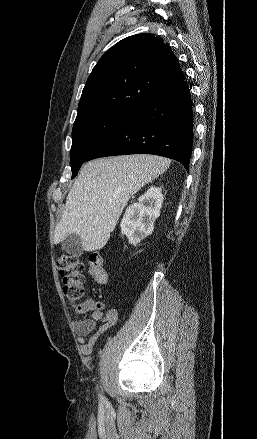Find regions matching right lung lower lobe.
Instances as JSON below:
<instances>
[{
	"instance_id": "obj_1",
	"label": "right lung lower lobe",
	"mask_w": 257,
	"mask_h": 439,
	"mask_svg": "<svg viewBox=\"0 0 257 439\" xmlns=\"http://www.w3.org/2000/svg\"><path fill=\"white\" fill-rule=\"evenodd\" d=\"M193 110L187 82L161 92L128 115L86 161L106 156L155 154L179 161L189 170Z\"/></svg>"
}]
</instances>
